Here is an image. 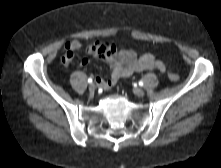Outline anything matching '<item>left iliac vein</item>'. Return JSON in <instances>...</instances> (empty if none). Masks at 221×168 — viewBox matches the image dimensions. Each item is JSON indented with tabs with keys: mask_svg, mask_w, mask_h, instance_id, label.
<instances>
[{
	"mask_svg": "<svg viewBox=\"0 0 221 168\" xmlns=\"http://www.w3.org/2000/svg\"><path fill=\"white\" fill-rule=\"evenodd\" d=\"M134 94L137 95V96H143L144 95V90L142 88H135L133 90Z\"/></svg>",
	"mask_w": 221,
	"mask_h": 168,
	"instance_id": "obj_1",
	"label": "left iliac vein"
}]
</instances>
